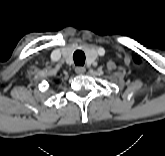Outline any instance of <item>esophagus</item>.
I'll list each match as a JSON object with an SVG mask.
<instances>
[{
  "label": "esophagus",
  "mask_w": 165,
  "mask_h": 156,
  "mask_svg": "<svg viewBox=\"0 0 165 156\" xmlns=\"http://www.w3.org/2000/svg\"><path fill=\"white\" fill-rule=\"evenodd\" d=\"M85 71H86L85 67H82V66H77V67L75 68V72H76L77 74H79V75L84 74Z\"/></svg>",
  "instance_id": "1"
}]
</instances>
